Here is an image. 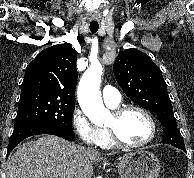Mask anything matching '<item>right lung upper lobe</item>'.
<instances>
[{"mask_svg":"<svg viewBox=\"0 0 194 178\" xmlns=\"http://www.w3.org/2000/svg\"><path fill=\"white\" fill-rule=\"evenodd\" d=\"M77 53L66 43L41 51L27 66L20 100L58 97L75 101Z\"/></svg>","mask_w":194,"mask_h":178,"instance_id":"right-lung-upper-lobe-1","label":"right lung upper lobe"}]
</instances>
